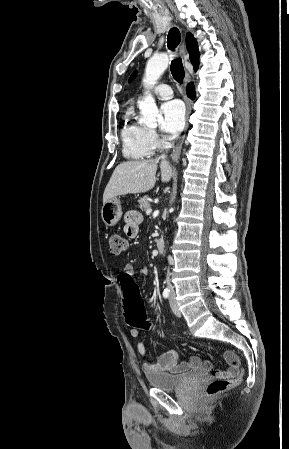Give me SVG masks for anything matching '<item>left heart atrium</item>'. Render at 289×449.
I'll return each mask as SVG.
<instances>
[{
	"mask_svg": "<svg viewBox=\"0 0 289 449\" xmlns=\"http://www.w3.org/2000/svg\"><path fill=\"white\" fill-rule=\"evenodd\" d=\"M160 112V128L167 138H173L184 127L185 108L181 101L171 100L161 105Z\"/></svg>",
	"mask_w": 289,
	"mask_h": 449,
	"instance_id": "obj_1",
	"label": "left heart atrium"
}]
</instances>
